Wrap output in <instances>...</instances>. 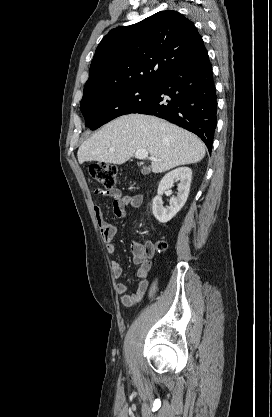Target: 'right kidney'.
Returning <instances> with one entry per match:
<instances>
[{
	"label": "right kidney",
	"mask_w": 272,
	"mask_h": 417,
	"mask_svg": "<svg viewBox=\"0 0 272 417\" xmlns=\"http://www.w3.org/2000/svg\"><path fill=\"white\" fill-rule=\"evenodd\" d=\"M192 170L188 167H180L167 173L159 183L157 195L153 199L152 211L154 217L161 223L170 221L184 206L187 201ZM176 179L180 180L178 184V193L176 197L170 199V206L163 207L162 194L165 190L171 188Z\"/></svg>",
	"instance_id": "obj_1"
}]
</instances>
